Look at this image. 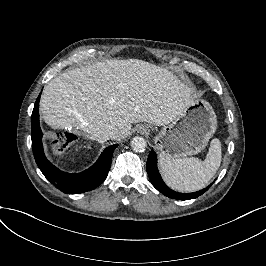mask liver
Returning <instances> with one entry per match:
<instances>
[{
	"label": "liver",
	"mask_w": 266,
	"mask_h": 266,
	"mask_svg": "<svg viewBox=\"0 0 266 266\" xmlns=\"http://www.w3.org/2000/svg\"><path fill=\"white\" fill-rule=\"evenodd\" d=\"M191 94L168 69L139 59H106L52 79L40 105L54 129L81 130L91 139L113 130L111 139L120 141L132 123L169 124L194 102Z\"/></svg>",
	"instance_id": "6515ba94"
}]
</instances>
